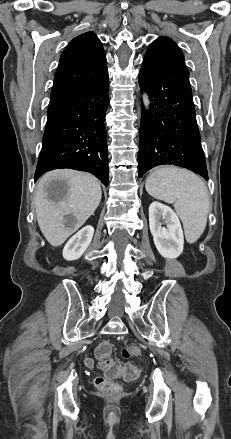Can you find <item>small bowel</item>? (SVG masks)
Returning <instances> with one entry per match:
<instances>
[{
  "mask_svg": "<svg viewBox=\"0 0 231 439\" xmlns=\"http://www.w3.org/2000/svg\"><path fill=\"white\" fill-rule=\"evenodd\" d=\"M86 363H87V365L90 366V367H92V366L94 365V361H93L92 358H87V359H86Z\"/></svg>",
  "mask_w": 231,
  "mask_h": 439,
  "instance_id": "small-bowel-1",
  "label": "small bowel"
}]
</instances>
